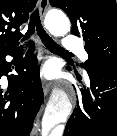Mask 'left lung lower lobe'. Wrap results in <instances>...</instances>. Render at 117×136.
Returning a JSON list of instances; mask_svg holds the SVG:
<instances>
[{"label": "left lung lower lobe", "mask_w": 117, "mask_h": 136, "mask_svg": "<svg viewBox=\"0 0 117 136\" xmlns=\"http://www.w3.org/2000/svg\"><path fill=\"white\" fill-rule=\"evenodd\" d=\"M86 71L90 87L80 90L63 136H117V63H92Z\"/></svg>", "instance_id": "obj_1"}]
</instances>
